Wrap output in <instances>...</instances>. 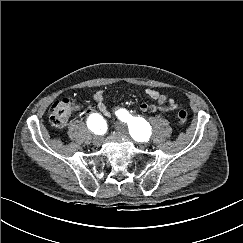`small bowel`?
Listing matches in <instances>:
<instances>
[{"label":"small bowel","mask_w":243,"mask_h":243,"mask_svg":"<svg viewBox=\"0 0 243 243\" xmlns=\"http://www.w3.org/2000/svg\"><path fill=\"white\" fill-rule=\"evenodd\" d=\"M145 94L156 101V104H148V103H141L139 108L143 112H156L160 111H173L178 108V104L175 102L174 99L167 98L164 94L158 92L155 89L148 88L145 90ZM93 101L97 106L99 112L104 116H109L110 111L105 104L104 96L102 91H98L93 96Z\"/></svg>","instance_id":"c3829d8e"}]
</instances>
